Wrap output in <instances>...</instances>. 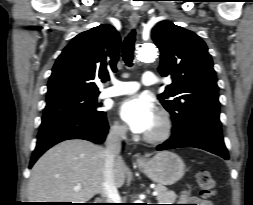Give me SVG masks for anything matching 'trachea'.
<instances>
[{
  "label": "trachea",
  "instance_id": "1",
  "mask_svg": "<svg viewBox=\"0 0 253 205\" xmlns=\"http://www.w3.org/2000/svg\"><path fill=\"white\" fill-rule=\"evenodd\" d=\"M135 30L133 29L125 38L122 45V56L125 64L129 67L133 65Z\"/></svg>",
  "mask_w": 253,
  "mask_h": 205
}]
</instances>
